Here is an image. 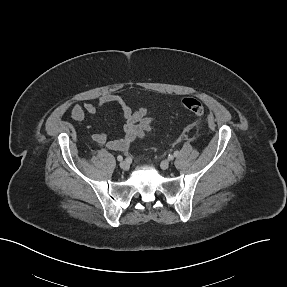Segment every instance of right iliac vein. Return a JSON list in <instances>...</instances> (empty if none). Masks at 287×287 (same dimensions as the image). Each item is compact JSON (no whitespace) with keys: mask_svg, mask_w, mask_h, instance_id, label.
Returning a JSON list of instances; mask_svg holds the SVG:
<instances>
[{"mask_svg":"<svg viewBox=\"0 0 287 287\" xmlns=\"http://www.w3.org/2000/svg\"><path fill=\"white\" fill-rule=\"evenodd\" d=\"M130 165L128 161H121L120 162V168L124 171H127L129 169Z\"/></svg>","mask_w":287,"mask_h":287,"instance_id":"63e3f726","label":"right iliac vein"}]
</instances>
